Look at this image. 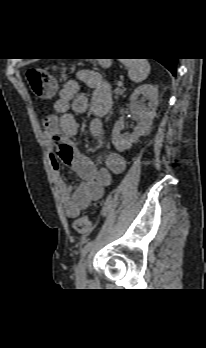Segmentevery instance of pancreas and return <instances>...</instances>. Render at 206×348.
I'll use <instances>...</instances> for the list:
<instances>
[{"label": "pancreas", "mask_w": 206, "mask_h": 348, "mask_svg": "<svg viewBox=\"0 0 206 348\" xmlns=\"http://www.w3.org/2000/svg\"><path fill=\"white\" fill-rule=\"evenodd\" d=\"M125 91V88L123 86H118L115 90H114V94H115V98H118L119 96H121Z\"/></svg>", "instance_id": "1"}]
</instances>
